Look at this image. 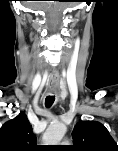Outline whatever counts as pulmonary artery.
<instances>
[{
	"label": "pulmonary artery",
	"instance_id": "obj_1",
	"mask_svg": "<svg viewBox=\"0 0 118 151\" xmlns=\"http://www.w3.org/2000/svg\"><path fill=\"white\" fill-rule=\"evenodd\" d=\"M64 144H68V142H63Z\"/></svg>",
	"mask_w": 118,
	"mask_h": 151
}]
</instances>
